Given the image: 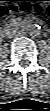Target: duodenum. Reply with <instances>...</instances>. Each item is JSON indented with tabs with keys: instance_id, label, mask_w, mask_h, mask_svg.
Listing matches in <instances>:
<instances>
[{
	"instance_id": "duodenum-1",
	"label": "duodenum",
	"mask_w": 50,
	"mask_h": 111,
	"mask_svg": "<svg viewBox=\"0 0 50 111\" xmlns=\"http://www.w3.org/2000/svg\"><path fill=\"white\" fill-rule=\"evenodd\" d=\"M7 34H8V31H7V30H3V31L1 32V37L4 38V37L7 36Z\"/></svg>"
}]
</instances>
